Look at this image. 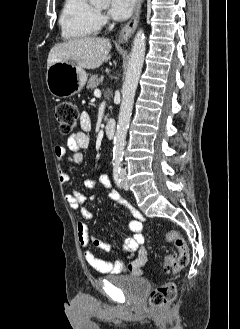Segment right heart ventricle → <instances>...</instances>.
<instances>
[{
    "mask_svg": "<svg viewBox=\"0 0 240 329\" xmlns=\"http://www.w3.org/2000/svg\"><path fill=\"white\" fill-rule=\"evenodd\" d=\"M65 41H79L95 35L100 28L98 12L89 0H65L59 16Z\"/></svg>",
    "mask_w": 240,
    "mask_h": 329,
    "instance_id": "right-heart-ventricle-1",
    "label": "right heart ventricle"
}]
</instances>
